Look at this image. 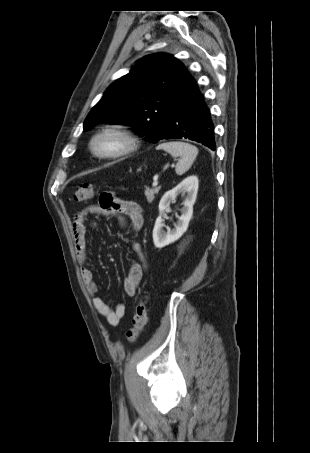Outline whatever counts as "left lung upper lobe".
I'll use <instances>...</instances> for the list:
<instances>
[{
	"mask_svg": "<svg viewBox=\"0 0 310 453\" xmlns=\"http://www.w3.org/2000/svg\"><path fill=\"white\" fill-rule=\"evenodd\" d=\"M185 66L172 55H148L112 83L88 114L84 129L100 123L133 125L140 136L156 143L188 81Z\"/></svg>",
	"mask_w": 310,
	"mask_h": 453,
	"instance_id": "left-lung-upper-lobe-1",
	"label": "left lung upper lobe"
}]
</instances>
